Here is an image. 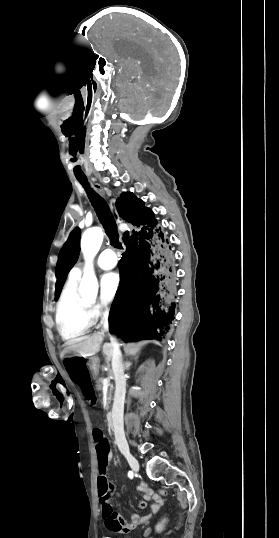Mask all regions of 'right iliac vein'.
<instances>
[{
    "label": "right iliac vein",
    "mask_w": 279,
    "mask_h": 538,
    "mask_svg": "<svg viewBox=\"0 0 279 538\" xmlns=\"http://www.w3.org/2000/svg\"><path fill=\"white\" fill-rule=\"evenodd\" d=\"M125 457L130 465V467L135 471V472H138L139 471V463L138 461L135 459L134 456H132L130 453H125Z\"/></svg>",
    "instance_id": "obj_1"
}]
</instances>
